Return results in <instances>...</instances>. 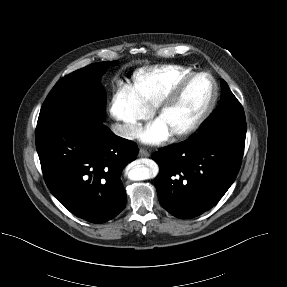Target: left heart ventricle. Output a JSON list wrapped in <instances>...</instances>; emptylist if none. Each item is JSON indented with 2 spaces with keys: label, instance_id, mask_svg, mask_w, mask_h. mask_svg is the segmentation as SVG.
Instances as JSON below:
<instances>
[{
  "label": "left heart ventricle",
  "instance_id": "1",
  "mask_svg": "<svg viewBox=\"0 0 287 287\" xmlns=\"http://www.w3.org/2000/svg\"><path fill=\"white\" fill-rule=\"evenodd\" d=\"M211 95L210 81L200 77L192 81L177 102L158 121L170 132L192 121L205 107Z\"/></svg>",
  "mask_w": 287,
  "mask_h": 287
}]
</instances>
